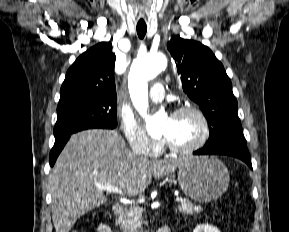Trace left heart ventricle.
I'll list each match as a JSON object with an SVG mask.
<instances>
[{
	"label": "left heart ventricle",
	"mask_w": 289,
	"mask_h": 232,
	"mask_svg": "<svg viewBox=\"0 0 289 232\" xmlns=\"http://www.w3.org/2000/svg\"><path fill=\"white\" fill-rule=\"evenodd\" d=\"M202 134L199 118L191 112H186L168 118L162 126V135L172 144L184 147L194 144Z\"/></svg>",
	"instance_id": "b2bd125f"
}]
</instances>
